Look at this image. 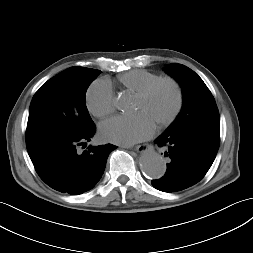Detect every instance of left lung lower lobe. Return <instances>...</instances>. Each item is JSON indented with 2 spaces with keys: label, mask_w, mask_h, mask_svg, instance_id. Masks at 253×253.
Instances as JSON below:
<instances>
[{
  "label": "left lung lower lobe",
  "mask_w": 253,
  "mask_h": 253,
  "mask_svg": "<svg viewBox=\"0 0 253 253\" xmlns=\"http://www.w3.org/2000/svg\"><path fill=\"white\" fill-rule=\"evenodd\" d=\"M155 142L169 158L166 174L152 185L163 192H176L198 183L211 167L220 143V124L201 120L168 129Z\"/></svg>",
  "instance_id": "0a47b994"
}]
</instances>
